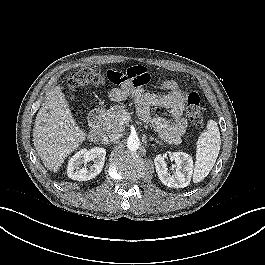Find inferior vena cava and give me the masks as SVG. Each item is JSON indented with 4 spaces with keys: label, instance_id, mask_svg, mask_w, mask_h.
<instances>
[{
    "label": "inferior vena cava",
    "instance_id": "inferior-vena-cava-1",
    "mask_svg": "<svg viewBox=\"0 0 265 265\" xmlns=\"http://www.w3.org/2000/svg\"><path fill=\"white\" fill-rule=\"evenodd\" d=\"M119 138H120V134L118 133H107L104 135L103 140L108 143V142L116 141Z\"/></svg>",
    "mask_w": 265,
    "mask_h": 265
}]
</instances>
